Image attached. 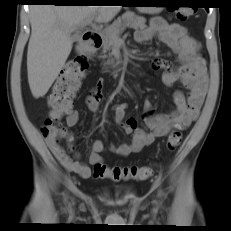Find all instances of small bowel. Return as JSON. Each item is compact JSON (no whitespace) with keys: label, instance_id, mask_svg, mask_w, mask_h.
I'll return each instance as SVG.
<instances>
[{"label":"small bowel","instance_id":"1","mask_svg":"<svg viewBox=\"0 0 231 231\" xmlns=\"http://www.w3.org/2000/svg\"><path fill=\"white\" fill-rule=\"evenodd\" d=\"M153 38L167 45L175 53L179 63L177 68H168L165 62L155 61L153 68L164 70L162 80L165 85L173 86L181 82L188 92L187 94L180 91L174 93L176 108L169 113L156 114L152 105L147 102L142 114L145 129L138 127V121L135 118L125 119L126 103L116 104L113 108L114 121L123 128L126 134L132 136L129 143L111 147V150L120 156L140 152L145 146L152 144L156 138L166 136L172 129L187 128L198 117L204 101L207 75L205 61L200 56L199 43L188 34L184 26L168 23L160 17L153 18L149 27L135 33V41L138 43H145ZM101 86L102 81H99L86 99V104L93 113L99 110L102 97ZM78 121L79 113L71 110L67 114L66 125L73 127ZM46 143L53 155L67 170L83 178L90 176L89 165L80 161L77 154L74 157L69 156L53 136L46 137ZM103 148L104 145L99 140L92 143L88 158L90 165L102 162Z\"/></svg>","mask_w":231,"mask_h":231}]
</instances>
